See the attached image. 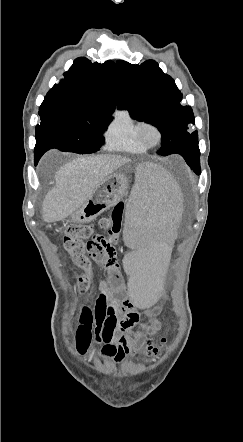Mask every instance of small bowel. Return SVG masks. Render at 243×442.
Returning <instances> with one entry per match:
<instances>
[{
  "label": "small bowel",
  "mask_w": 243,
  "mask_h": 442,
  "mask_svg": "<svg viewBox=\"0 0 243 442\" xmlns=\"http://www.w3.org/2000/svg\"><path fill=\"white\" fill-rule=\"evenodd\" d=\"M95 240L100 241L101 236L97 235ZM96 253L95 250L91 257L106 270L109 280L99 284V295L93 306H79L76 349L80 355L90 354L96 358L90 353V346L95 342L101 345L103 358L119 364L136 354L160 330V309H149L141 318L126 296L115 250L109 259H98Z\"/></svg>",
  "instance_id": "1"
}]
</instances>
